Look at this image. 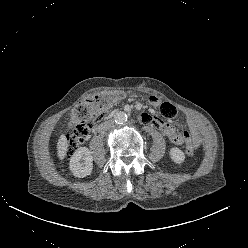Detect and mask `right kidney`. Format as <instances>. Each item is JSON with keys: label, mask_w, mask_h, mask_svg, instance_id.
<instances>
[{"label": "right kidney", "mask_w": 248, "mask_h": 248, "mask_svg": "<svg viewBox=\"0 0 248 248\" xmlns=\"http://www.w3.org/2000/svg\"><path fill=\"white\" fill-rule=\"evenodd\" d=\"M69 168L73 175L84 178L90 175L93 169V157L86 147L78 148L70 158Z\"/></svg>", "instance_id": "1"}]
</instances>
